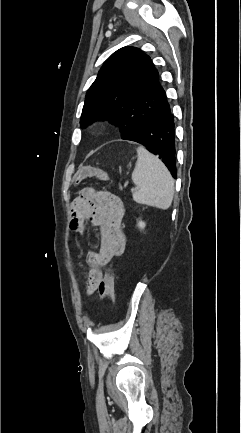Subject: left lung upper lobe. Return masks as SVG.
Returning a JSON list of instances; mask_svg holds the SVG:
<instances>
[{
    "instance_id": "obj_1",
    "label": "left lung upper lobe",
    "mask_w": 241,
    "mask_h": 433,
    "mask_svg": "<svg viewBox=\"0 0 241 433\" xmlns=\"http://www.w3.org/2000/svg\"><path fill=\"white\" fill-rule=\"evenodd\" d=\"M166 93L150 57L134 47L113 53L89 88L81 128L94 120L109 119L126 139L160 107Z\"/></svg>"
}]
</instances>
